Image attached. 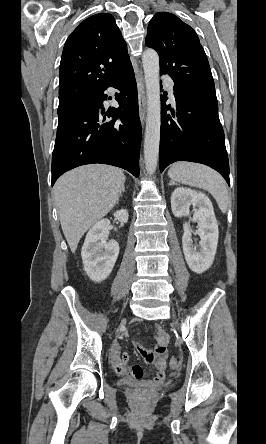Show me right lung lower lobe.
<instances>
[{
	"label": "right lung lower lobe",
	"instance_id": "1",
	"mask_svg": "<svg viewBox=\"0 0 266 444\" xmlns=\"http://www.w3.org/2000/svg\"><path fill=\"white\" fill-rule=\"evenodd\" d=\"M108 87L120 91L116 95L119 108L104 114V91ZM106 116L114 119L104 123ZM140 144L137 86L129 63L88 103L59 120L52 154V186L66 171L92 163L121 167L138 177Z\"/></svg>",
	"mask_w": 266,
	"mask_h": 444
}]
</instances>
